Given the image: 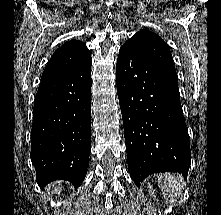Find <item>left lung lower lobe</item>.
I'll return each mask as SVG.
<instances>
[{
    "label": "left lung lower lobe",
    "mask_w": 221,
    "mask_h": 215,
    "mask_svg": "<svg viewBox=\"0 0 221 215\" xmlns=\"http://www.w3.org/2000/svg\"><path fill=\"white\" fill-rule=\"evenodd\" d=\"M116 80L132 180L140 185L154 172L187 177L191 152L177 76L124 44Z\"/></svg>",
    "instance_id": "left-lung-lower-lobe-1"
}]
</instances>
